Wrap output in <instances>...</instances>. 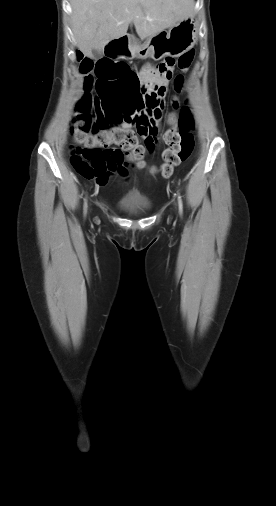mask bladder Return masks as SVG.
Listing matches in <instances>:
<instances>
[{"label": "bladder", "instance_id": "31cf9c89", "mask_svg": "<svg viewBox=\"0 0 276 506\" xmlns=\"http://www.w3.org/2000/svg\"><path fill=\"white\" fill-rule=\"evenodd\" d=\"M117 207L124 213L130 215H142L148 213L152 209V204L142 193L130 192L118 200Z\"/></svg>", "mask_w": 276, "mask_h": 506}]
</instances>
